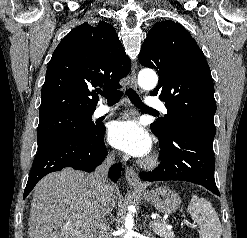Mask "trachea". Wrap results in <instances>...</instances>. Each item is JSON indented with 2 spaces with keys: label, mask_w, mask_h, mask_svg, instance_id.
<instances>
[{
  "label": "trachea",
  "mask_w": 247,
  "mask_h": 238,
  "mask_svg": "<svg viewBox=\"0 0 247 238\" xmlns=\"http://www.w3.org/2000/svg\"><path fill=\"white\" fill-rule=\"evenodd\" d=\"M100 94L107 99L108 103H112V104L118 102L121 99L122 95H123V93L121 91H102ZM127 95L129 97L130 101L136 107L144 109V110H153V109L147 107L141 101L139 95L133 89H129L127 91Z\"/></svg>",
  "instance_id": "1"
}]
</instances>
